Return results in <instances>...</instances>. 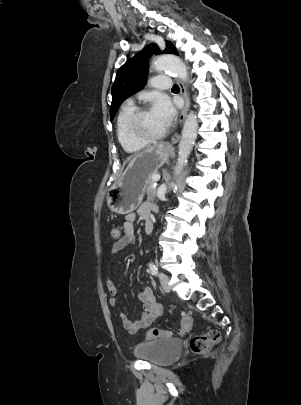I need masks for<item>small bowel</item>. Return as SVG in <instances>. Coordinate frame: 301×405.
Returning <instances> with one entry per match:
<instances>
[{
	"mask_svg": "<svg viewBox=\"0 0 301 405\" xmlns=\"http://www.w3.org/2000/svg\"><path fill=\"white\" fill-rule=\"evenodd\" d=\"M155 211L153 203L147 201L140 205L137 214L140 215L145 221L151 219L152 213ZM136 213H129L125 216L123 231L119 230L118 237H113L115 243L112 246V255L118 254L128 245L135 242L134 222L137 218ZM106 288L110 295V303L113 306L117 305V287L110 279L106 282ZM139 300L142 303L143 312L139 319L131 320L125 314H120V319L130 333H136L140 329L146 328L151 325L162 313V306L157 302L153 291L146 287L139 294Z\"/></svg>",
	"mask_w": 301,
	"mask_h": 405,
	"instance_id": "c3829d8e",
	"label": "small bowel"
}]
</instances>
